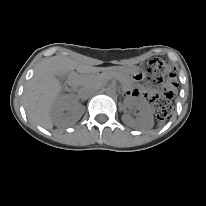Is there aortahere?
<instances>
[{
  "instance_id": "762f6f07",
  "label": "aorta",
  "mask_w": 206,
  "mask_h": 206,
  "mask_svg": "<svg viewBox=\"0 0 206 206\" xmlns=\"http://www.w3.org/2000/svg\"><path fill=\"white\" fill-rule=\"evenodd\" d=\"M106 93L110 96L115 95L116 94V88L115 86H109L106 88Z\"/></svg>"
}]
</instances>
